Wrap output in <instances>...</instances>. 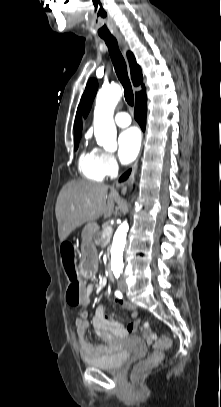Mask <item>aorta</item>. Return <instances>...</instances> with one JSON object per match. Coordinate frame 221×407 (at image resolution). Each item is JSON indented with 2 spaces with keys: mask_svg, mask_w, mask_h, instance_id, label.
<instances>
[{
  "mask_svg": "<svg viewBox=\"0 0 221 407\" xmlns=\"http://www.w3.org/2000/svg\"><path fill=\"white\" fill-rule=\"evenodd\" d=\"M122 96L119 85L112 84L102 88L96 97L94 109V135L98 145L106 150L116 147V127L113 120L114 109ZM129 226L127 221L121 223L114 234L111 248V270L118 278L123 266V251Z\"/></svg>",
  "mask_w": 221,
  "mask_h": 407,
  "instance_id": "aorta-1",
  "label": "aorta"
}]
</instances>
